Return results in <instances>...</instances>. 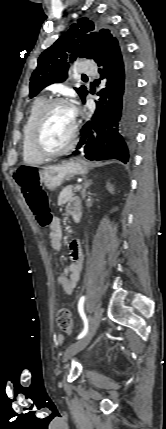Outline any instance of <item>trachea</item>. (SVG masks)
I'll return each instance as SVG.
<instances>
[{
    "mask_svg": "<svg viewBox=\"0 0 166 429\" xmlns=\"http://www.w3.org/2000/svg\"><path fill=\"white\" fill-rule=\"evenodd\" d=\"M82 80H88V78L86 76H83Z\"/></svg>",
    "mask_w": 166,
    "mask_h": 429,
    "instance_id": "1",
    "label": "trachea"
}]
</instances>
